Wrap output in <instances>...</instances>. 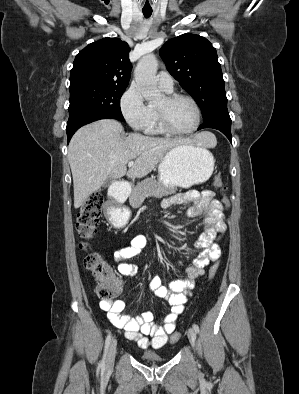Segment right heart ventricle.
Wrapping results in <instances>:
<instances>
[{
    "instance_id": "obj_1",
    "label": "right heart ventricle",
    "mask_w": 299,
    "mask_h": 394,
    "mask_svg": "<svg viewBox=\"0 0 299 394\" xmlns=\"http://www.w3.org/2000/svg\"><path fill=\"white\" fill-rule=\"evenodd\" d=\"M163 91L166 92L167 94H170V93H172L173 90H170V91L163 90ZM150 108H151L152 115H151L150 121L148 122V124L145 128V132L147 134H152V135L165 133L159 125L157 113H156V108L154 106H150Z\"/></svg>"
}]
</instances>
